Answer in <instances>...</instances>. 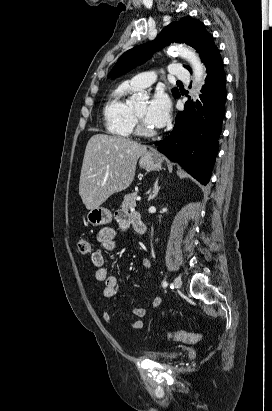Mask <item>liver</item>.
I'll list each match as a JSON object with an SVG mask.
<instances>
[{"instance_id": "obj_1", "label": "liver", "mask_w": 272, "mask_h": 411, "mask_svg": "<svg viewBox=\"0 0 272 411\" xmlns=\"http://www.w3.org/2000/svg\"><path fill=\"white\" fill-rule=\"evenodd\" d=\"M147 147L127 138L93 135L83 158L79 195L88 210L99 207L112 194L132 183L138 158Z\"/></svg>"}]
</instances>
